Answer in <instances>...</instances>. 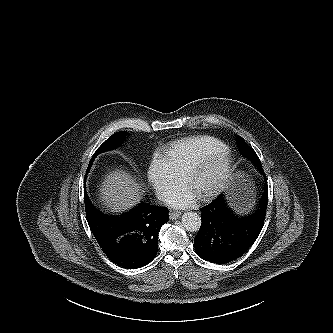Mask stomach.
<instances>
[{"mask_svg": "<svg viewBox=\"0 0 333 333\" xmlns=\"http://www.w3.org/2000/svg\"><path fill=\"white\" fill-rule=\"evenodd\" d=\"M229 200L230 205L238 212L246 211L252 205L253 190L242 172H237L234 175Z\"/></svg>", "mask_w": 333, "mask_h": 333, "instance_id": "1", "label": "stomach"}]
</instances>
